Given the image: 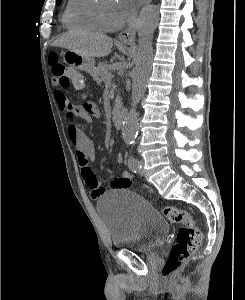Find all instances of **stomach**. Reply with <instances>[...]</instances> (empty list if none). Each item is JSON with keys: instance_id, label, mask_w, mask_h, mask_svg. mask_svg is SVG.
<instances>
[{"instance_id": "1", "label": "stomach", "mask_w": 245, "mask_h": 300, "mask_svg": "<svg viewBox=\"0 0 245 300\" xmlns=\"http://www.w3.org/2000/svg\"><path fill=\"white\" fill-rule=\"evenodd\" d=\"M63 60L68 66L87 73L92 72L95 64L93 58L82 56L72 50L63 53Z\"/></svg>"}]
</instances>
